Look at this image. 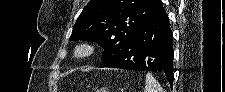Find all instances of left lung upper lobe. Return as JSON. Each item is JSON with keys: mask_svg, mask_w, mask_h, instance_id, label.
I'll return each instance as SVG.
<instances>
[{"mask_svg": "<svg viewBox=\"0 0 225 92\" xmlns=\"http://www.w3.org/2000/svg\"><path fill=\"white\" fill-rule=\"evenodd\" d=\"M162 9L161 0H91L78 17L70 40L98 43L104 48V62Z\"/></svg>", "mask_w": 225, "mask_h": 92, "instance_id": "1", "label": "left lung upper lobe"}]
</instances>
